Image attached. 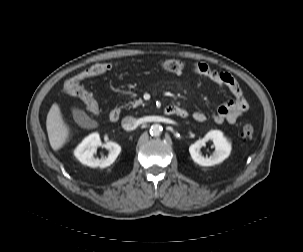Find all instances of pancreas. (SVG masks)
<instances>
[{
    "label": "pancreas",
    "mask_w": 303,
    "mask_h": 252,
    "mask_svg": "<svg viewBox=\"0 0 303 252\" xmlns=\"http://www.w3.org/2000/svg\"><path fill=\"white\" fill-rule=\"evenodd\" d=\"M143 104V101L141 100V99H139V100H135V101H130L128 104H127V106H129V108H131V107H137V106H139V105H142Z\"/></svg>",
    "instance_id": "1"
}]
</instances>
